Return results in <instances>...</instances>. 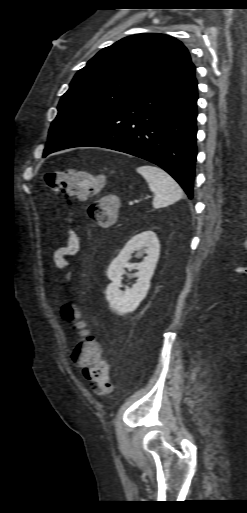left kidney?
<instances>
[{
	"label": "left kidney",
	"mask_w": 247,
	"mask_h": 513,
	"mask_svg": "<svg viewBox=\"0 0 247 513\" xmlns=\"http://www.w3.org/2000/svg\"><path fill=\"white\" fill-rule=\"evenodd\" d=\"M143 249L147 254L138 264H129L132 253ZM160 255V242L152 231H145L132 237L122 248L118 256L111 262L108 278L112 281L106 291V299L110 309L119 314L133 312L146 297L150 288V280ZM125 268L136 269L137 282L131 289L120 290L122 275Z\"/></svg>",
	"instance_id": "5707ae66"
}]
</instances>
